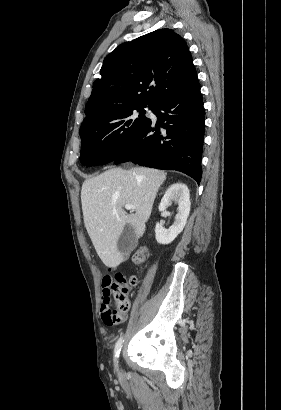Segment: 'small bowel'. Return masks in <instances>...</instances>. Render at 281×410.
<instances>
[{
	"instance_id": "obj_1",
	"label": "small bowel",
	"mask_w": 281,
	"mask_h": 410,
	"mask_svg": "<svg viewBox=\"0 0 281 410\" xmlns=\"http://www.w3.org/2000/svg\"><path fill=\"white\" fill-rule=\"evenodd\" d=\"M113 270V268H110L109 271ZM113 280L110 274H106L102 277L101 280V287H102V303H101V314L102 318L104 320V315L108 311L109 307V300H110V287L112 284ZM125 318L124 315H121V321Z\"/></svg>"
}]
</instances>
